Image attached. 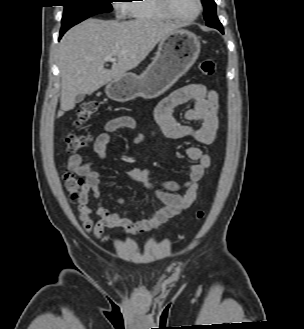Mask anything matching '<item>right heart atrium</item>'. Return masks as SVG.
<instances>
[{
	"label": "right heart atrium",
	"mask_w": 304,
	"mask_h": 329,
	"mask_svg": "<svg viewBox=\"0 0 304 329\" xmlns=\"http://www.w3.org/2000/svg\"><path fill=\"white\" fill-rule=\"evenodd\" d=\"M114 8L119 17H124L128 13L127 3L124 0L115 1Z\"/></svg>",
	"instance_id": "right-heart-atrium-1"
}]
</instances>
